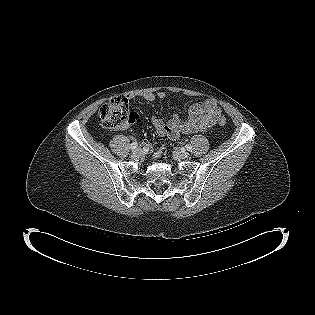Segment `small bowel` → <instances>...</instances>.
<instances>
[{
	"instance_id": "c3829d8e",
	"label": "small bowel",
	"mask_w": 315,
	"mask_h": 315,
	"mask_svg": "<svg viewBox=\"0 0 315 315\" xmlns=\"http://www.w3.org/2000/svg\"><path fill=\"white\" fill-rule=\"evenodd\" d=\"M164 92L145 93L144 100L152 102L155 99H164ZM221 115L218 105L212 100L195 103L189 108V117L182 120L178 115H174L169 121H164L158 116H153L151 122L159 136L170 139H178L182 134H190L205 131L213 126ZM145 145H149L145 142ZM161 151L155 153V158L160 157Z\"/></svg>"
}]
</instances>
